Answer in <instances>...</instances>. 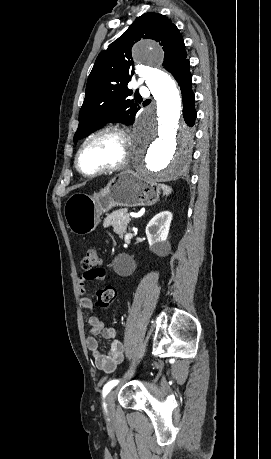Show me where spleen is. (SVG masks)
I'll use <instances>...</instances> for the list:
<instances>
[{
  "instance_id": "spleen-1",
  "label": "spleen",
  "mask_w": 271,
  "mask_h": 459,
  "mask_svg": "<svg viewBox=\"0 0 271 459\" xmlns=\"http://www.w3.org/2000/svg\"><path fill=\"white\" fill-rule=\"evenodd\" d=\"M161 188L163 190L164 196H169V194L172 192V188H170V186H165V184H161Z\"/></svg>"
}]
</instances>
